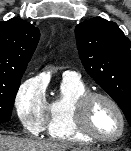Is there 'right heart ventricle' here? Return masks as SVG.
Segmentation results:
<instances>
[{"label":"right heart ventricle","instance_id":"obj_1","mask_svg":"<svg viewBox=\"0 0 131 151\" xmlns=\"http://www.w3.org/2000/svg\"><path fill=\"white\" fill-rule=\"evenodd\" d=\"M87 91L80 79H62L60 96L48 103L44 130L49 138L69 143L93 141L78 131L74 119L75 103Z\"/></svg>","mask_w":131,"mask_h":151}]
</instances>
